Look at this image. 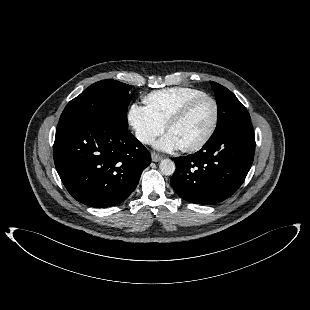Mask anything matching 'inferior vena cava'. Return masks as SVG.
<instances>
[{"mask_svg":"<svg viewBox=\"0 0 310 310\" xmlns=\"http://www.w3.org/2000/svg\"><path fill=\"white\" fill-rule=\"evenodd\" d=\"M136 137L138 140H140L142 143H145V144H151V143H153V141L155 139L152 135L143 134L140 132L136 133Z\"/></svg>","mask_w":310,"mask_h":310,"instance_id":"1","label":"inferior vena cava"}]
</instances>
